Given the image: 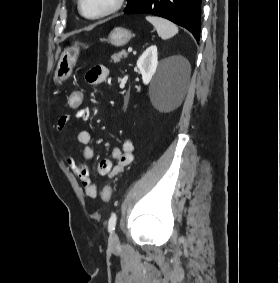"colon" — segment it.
Returning a JSON list of instances; mask_svg holds the SVG:
<instances>
[{
	"instance_id": "colon-1",
	"label": "colon",
	"mask_w": 280,
	"mask_h": 283,
	"mask_svg": "<svg viewBox=\"0 0 280 283\" xmlns=\"http://www.w3.org/2000/svg\"><path fill=\"white\" fill-rule=\"evenodd\" d=\"M67 99L68 112H77V108H81V105L85 102L84 91H81L80 87H77L76 90H70L69 94H67ZM111 195L112 187L110 185H106L101 192L103 202H108Z\"/></svg>"
}]
</instances>
